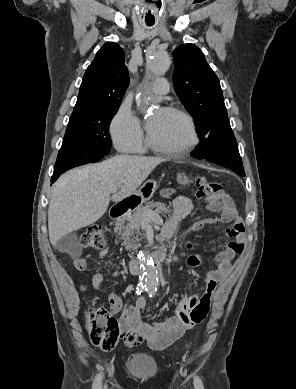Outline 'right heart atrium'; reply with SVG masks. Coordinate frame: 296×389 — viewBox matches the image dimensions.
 I'll return each instance as SVG.
<instances>
[{
  "instance_id": "1",
  "label": "right heart atrium",
  "mask_w": 296,
  "mask_h": 389,
  "mask_svg": "<svg viewBox=\"0 0 296 389\" xmlns=\"http://www.w3.org/2000/svg\"><path fill=\"white\" fill-rule=\"evenodd\" d=\"M110 134L114 146L121 152L134 153L143 149L141 122L126 105H121L113 116Z\"/></svg>"
}]
</instances>
